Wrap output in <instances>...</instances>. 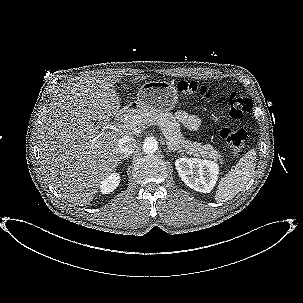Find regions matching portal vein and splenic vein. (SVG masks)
<instances>
[{
    "label": "portal vein and splenic vein",
    "instance_id": "18ae733b",
    "mask_svg": "<svg viewBox=\"0 0 303 303\" xmlns=\"http://www.w3.org/2000/svg\"><path fill=\"white\" fill-rule=\"evenodd\" d=\"M120 127L127 128V129H132V125H130V124L126 123V122H125L124 124H122ZM160 127H161V130H162V132H163L165 138H166L170 143H172V144L174 145V142H173L172 138L170 137L169 133L167 132V130H166L163 126H161V125H160ZM137 129H138V128H137ZM132 130H136V129H132Z\"/></svg>",
    "mask_w": 303,
    "mask_h": 303
}]
</instances>
